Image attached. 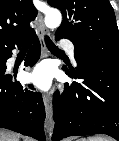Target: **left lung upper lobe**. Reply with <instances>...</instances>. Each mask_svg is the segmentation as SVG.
<instances>
[{
    "mask_svg": "<svg viewBox=\"0 0 119 141\" xmlns=\"http://www.w3.org/2000/svg\"><path fill=\"white\" fill-rule=\"evenodd\" d=\"M63 14L55 36L70 39L76 62L119 63L118 27L108 0H48Z\"/></svg>",
    "mask_w": 119,
    "mask_h": 141,
    "instance_id": "5c2ea615",
    "label": "left lung upper lobe"
}]
</instances>
